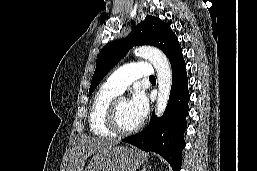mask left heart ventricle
<instances>
[{"instance_id": "obj_1", "label": "left heart ventricle", "mask_w": 257, "mask_h": 171, "mask_svg": "<svg viewBox=\"0 0 257 171\" xmlns=\"http://www.w3.org/2000/svg\"><path fill=\"white\" fill-rule=\"evenodd\" d=\"M118 121L122 128L130 129L136 126L140 121L132 113L129 102L120 100L117 106Z\"/></svg>"}]
</instances>
